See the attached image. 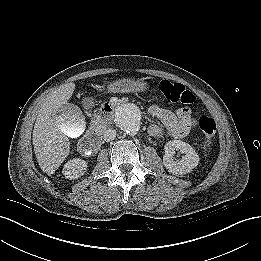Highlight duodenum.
Wrapping results in <instances>:
<instances>
[{
    "instance_id": "410a0bca",
    "label": "duodenum",
    "mask_w": 261,
    "mask_h": 261,
    "mask_svg": "<svg viewBox=\"0 0 261 261\" xmlns=\"http://www.w3.org/2000/svg\"><path fill=\"white\" fill-rule=\"evenodd\" d=\"M113 111L111 107L95 118L93 128L79 142V151L83 154H93L97 152L101 145V131L113 121Z\"/></svg>"
}]
</instances>
